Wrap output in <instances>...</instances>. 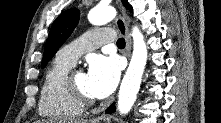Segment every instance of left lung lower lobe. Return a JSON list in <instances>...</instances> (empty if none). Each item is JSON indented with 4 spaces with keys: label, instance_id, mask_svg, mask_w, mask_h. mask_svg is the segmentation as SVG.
Wrapping results in <instances>:
<instances>
[{
    "label": "left lung lower lobe",
    "instance_id": "0a47b994",
    "mask_svg": "<svg viewBox=\"0 0 221 123\" xmlns=\"http://www.w3.org/2000/svg\"><path fill=\"white\" fill-rule=\"evenodd\" d=\"M114 110H115V105L112 104V105L106 110V112H107V113H113Z\"/></svg>",
    "mask_w": 221,
    "mask_h": 123
}]
</instances>
